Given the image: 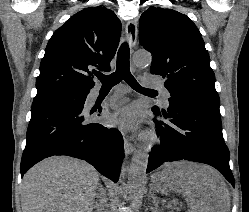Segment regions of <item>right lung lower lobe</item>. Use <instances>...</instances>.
<instances>
[{
    "label": "right lung lower lobe",
    "instance_id": "1",
    "mask_svg": "<svg viewBox=\"0 0 249 212\" xmlns=\"http://www.w3.org/2000/svg\"><path fill=\"white\" fill-rule=\"evenodd\" d=\"M82 99L36 100L32 103L26 146L21 160V176L44 158L67 155L87 161L101 174L117 182L124 158L121 133L92 123L100 116ZM100 107L98 111L101 112Z\"/></svg>",
    "mask_w": 249,
    "mask_h": 212
}]
</instances>
